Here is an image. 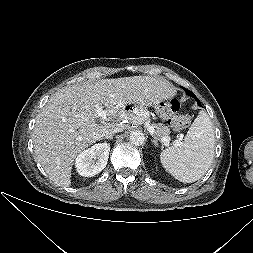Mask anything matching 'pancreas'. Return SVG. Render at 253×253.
I'll return each mask as SVG.
<instances>
[{
  "label": "pancreas",
  "mask_w": 253,
  "mask_h": 253,
  "mask_svg": "<svg viewBox=\"0 0 253 253\" xmlns=\"http://www.w3.org/2000/svg\"><path fill=\"white\" fill-rule=\"evenodd\" d=\"M155 128V133L158 136H168L170 131L167 126L164 124H157L153 126Z\"/></svg>",
  "instance_id": "1"
}]
</instances>
